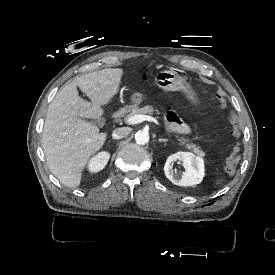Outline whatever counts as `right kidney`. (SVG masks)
I'll return each instance as SVG.
<instances>
[{
	"label": "right kidney",
	"instance_id": "ca27d5eb",
	"mask_svg": "<svg viewBox=\"0 0 275 275\" xmlns=\"http://www.w3.org/2000/svg\"><path fill=\"white\" fill-rule=\"evenodd\" d=\"M109 160V154L103 152L95 157L90 163V171L97 172L102 170Z\"/></svg>",
	"mask_w": 275,
	"mask_h": 275
}]
</instances>
